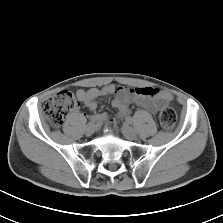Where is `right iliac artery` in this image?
Listing matches in <instances>:
<instances>
[{"instance_id": "1", "label": "right iliac artery", "mask_w": 223, "mask_h": 223, "mask_svg": "<svg viewBox=\"0 0 223 223\" xmlns=\"http://www.w3.org/2000/svg\"><path fill=\"white\" fill-rule=\"evenodd\" d=\"M97 121H99V118L97 117V115H93L89 119V124H94Z\"/></svg>"}]
</instances>
